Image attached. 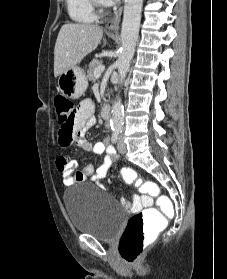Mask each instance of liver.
Listing matches in <instances>:
<instances>
[{"label": "liver", "mask_w": 227, "mask_h": 279, "mask_svg": "<svg viewBox=\"0 0 227 279\" xmlns=\"http://www.w3.org/2000/svg\"><path fill=\"white\" fill-rule=\"evenodd\" d=\"M103 36V28L84 23L64 24L55 43L54 76L76 66L86 55L94 51Z\"/></svg>", "instance_id": "1"}]
</instances>
